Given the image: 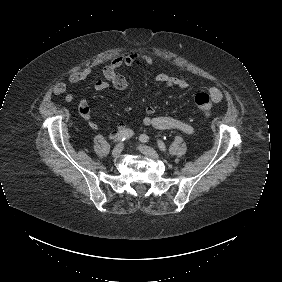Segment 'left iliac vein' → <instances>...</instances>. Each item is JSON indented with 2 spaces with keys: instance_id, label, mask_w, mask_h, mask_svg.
<instances>
[{
  "instance_id": "obj_1",
  "label": "left iliac vein",
  "mask_w": 282,
  "mask_h": 282,
  "mask_svg": "<svg viewBox=\"0 0 282 282\" xmlns=\"http://www.w3.org/2000/svg\"><path fill=\"white\" fill-rule=\"evenodd\" d=\"M138 148H139L141 153H143L144 155H146L150 158H153V159H159L160 158L159 154L151 147L141 145Z\"/></svg>"
}]
</instances>
